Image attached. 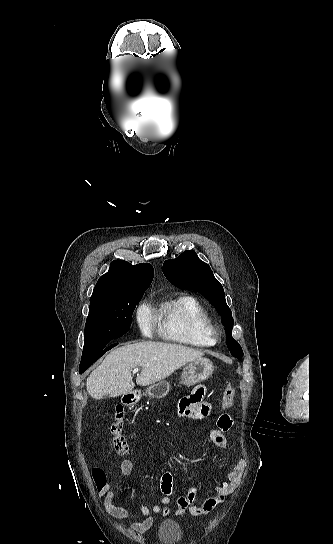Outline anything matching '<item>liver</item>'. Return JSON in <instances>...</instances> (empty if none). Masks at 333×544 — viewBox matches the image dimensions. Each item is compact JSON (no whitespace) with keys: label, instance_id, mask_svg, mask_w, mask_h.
Returning a JSON list of instances; mask_svg holds the SVG:
<instances>
[{"label":"liver","instance_id":"liver-1","mask_svg":"<svg viewBox=\"0 0 333 544\" xmlns=\"http://www.w3.org/2000/svg\"><path fill=\"white\" fill-rule=\"evenodd\" d=\"M203 355L202 351L172 343L143 341L127 344L111 351L91 372L86 382L87 391L98 400L106 395L117 397L131 393L135 387L131 374L133 368L142 367L136 383L147 386Z\"/></svg>","mask_w":333,"mask_h":544}]
</instances>
